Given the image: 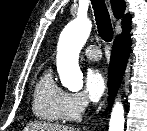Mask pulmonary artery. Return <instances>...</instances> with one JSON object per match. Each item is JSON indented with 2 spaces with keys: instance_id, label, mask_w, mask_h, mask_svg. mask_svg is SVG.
<instances>
[{
  "instance_id": "obj_1",
  "label": "pulmonary artery",
  "mask_w": 147,
  "mask_h": 131,
  "mask_svg": "<svg viewBox=\"0 0 147 131\" xmlns=\"http://www.w3.org/2000/svg\"><path fill=\"white\" fill-rule=\"evenodd\" d=\"M84 55L90 60L97 61L101 58V51L97 46L91 45L84 50Z\"/></svg>"
}]
</instances>
